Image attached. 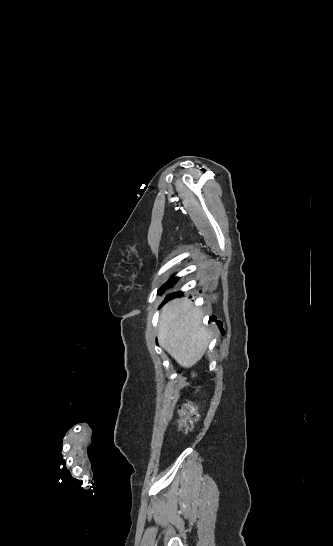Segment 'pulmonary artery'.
I'll return each mask as SVG.
<instances>
[{"mask_svg":"<svg viewBox=\"0 0 333 546\" xmlns=\"http://www.w3.org/2000/svg\"><path fill=\"white\" fill-rule=\"evenodd\" d=\"M272 14H283L282 12L272 13Z\"/></svg>","mask_w":333,"mask_h":546,"instance_id":"e3ab8cb5","label":"pulmonary artery"}]
</instances>
